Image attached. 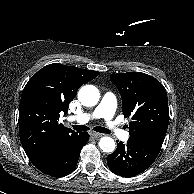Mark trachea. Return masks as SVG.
<instances>
[{
    "label": "trachea",
    "instance_id": "trachea-1",
    "mask_svg": "<svg viewBox=\"0 0 194 194\" xmlns=\"http://www.w3.org/2000/svg\"><path fill=\"white\" fill-rule=\"evenodd\" d=\"M73 129L77 131H87L89 130V127L85 125H73ZM93 130L100 133H107V134L110 133V130L101 126H95Z\"/></svg>",
    "mask_w": 194,
    "mask_h": 194
}]
</instances>
